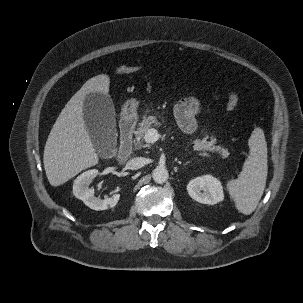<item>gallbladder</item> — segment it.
<instances>
[{"mask_svg": "<svg viewBox=\"0 0 303 303\" xmlns=\"http://www.w3.org/2000/svg\"><path fill=\"white\" fill-rule=\"evenodd\" d=\"M84 120L96 151L105 155L116 142L115 110L111 98L102 93H91L84 99Z\"/></svg>", "mask_w": 303, "mask_h": 303, "instance_id": "gallbladder-1", "label": "gallbladder"}]
</instances>
